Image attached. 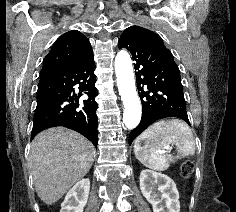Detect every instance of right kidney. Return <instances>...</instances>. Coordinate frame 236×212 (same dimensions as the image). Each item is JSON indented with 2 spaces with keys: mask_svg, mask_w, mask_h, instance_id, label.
<instances>
[{
  "mask_svg": "<svg viewBox=\"0 0 236 212\" xmlns=\"http://www.w3.org/2000/svg\"><path fill=\"white\" fill-rule=\"evenodd\" d=\"M89 191V179L86 178L77 182L65 196V199L61 204L60 212H83L88 201Z\"/></svg>",
  "mask_w": 236,
  "mask_h": 212,
  "instance_id": "1",
  "label": "right kidney"
}]
</instances>
